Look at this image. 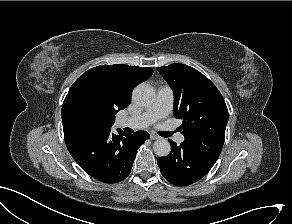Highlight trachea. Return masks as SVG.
Returning <instances> with one entry per match:
<instances>
[{"instance_id":"1","label":"trachea","mask_w":292,"mask_h":224,"mask_svg":"<svg viewBox=\"0 0 292 224\" xmlns=\"http://www.w3.org/2000/svg\"><path fill=\"white\" fill-rule=\"evenodd\" d=\"M173 132L170 131H163V132H159V135L162 137H170L172 136Z\"/></svg>"}]
</instances>
